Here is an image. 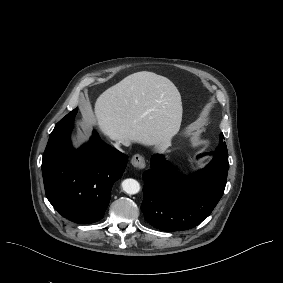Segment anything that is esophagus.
I'll use <instances>...</instances> for the list:
<instances>
[{
  "label": "esophagus",
  "instance_id": "1",
  "mask_svg": "<svg viewBox=\"0 0 283 283\" xmlns=\"http://www.w3.org/2000/svg\"><path fill=\"white\" fill-rule=\"evenodd\" d=\"M131 164L133 165V167L138 168V169H143L146 166L145 159L140 154H135L131 158Z\"/></svg>",
  "mask_w": 283,
  "mask_h": 283
}]
</instances>
